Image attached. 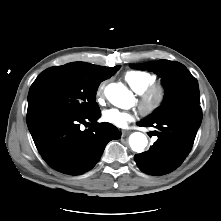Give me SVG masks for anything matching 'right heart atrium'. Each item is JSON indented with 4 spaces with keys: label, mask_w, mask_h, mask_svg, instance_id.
<instances>
[{
    "label": "right heart atrium",
    "mask_w": 221,
    "mask_h": 221,
    "mask_svg": "<svg viewBox=\"0 0 221 221\" xmlns=\"http://www.w3.org/2000/svg\"><path fill=\"white\" fill-rule=\"evenodd\" d=\"M103 96V87L101 86L97 91V98L100 100Z\"/></svg>",
    "instance_id": "1"
}]
</instances>
